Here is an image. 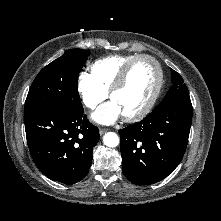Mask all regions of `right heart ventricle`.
Wrapping results in <instances>:
<instances>
[{"instance_id": "obj_1", "label": "right heart ventricle", "mask_w": 221, "mask_h": 221, "mask_svg": "<svg viewBox=\"0 0 221 221\" xmlns=\"http://www.w3.org/2000/svg\"><path fill=\"white\" fill-rule=\"evenodd\" d=\"M136 56L138 55L126 54L100 58L91 64V75L96 83L108 93L122 68Z\"/></svg>"}]
</instances>
